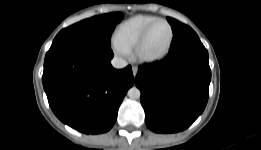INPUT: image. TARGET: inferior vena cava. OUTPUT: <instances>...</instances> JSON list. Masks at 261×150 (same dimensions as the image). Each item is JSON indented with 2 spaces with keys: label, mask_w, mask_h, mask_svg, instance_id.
<instances>
[{
  "label": "inferior vena cava",
  "mask_w": 261,
  "mask_h": 150,
  "mask_svg": "<svg viewBox=\"0 0 261 150\" xmlns=\"http://www.w3.org/2000/svg\"><path fill=\"white\" fill-rule=\"evenodd\" d=\"M114 68L121 69L127 66V62L121 57H114L111 61Z\"/></svg>",
  "instance_id": "inferior-vena-cava-1"
}]
</instances>
